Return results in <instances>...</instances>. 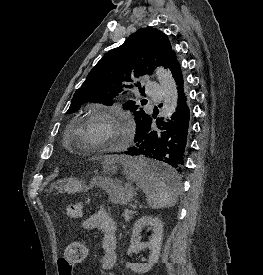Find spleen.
Listing matches in <instances>:
<instances>
[{"instance_id": "3e777b00", "label": "spleen", "mask_w": 263, "mask_h": 275, "mask_svg": "<svg viewBox=\"0 0 263 275\" xmlns=\"http://www.w3.org/2000/svg\"><path fill=\"white\" fill-rule=\"evenodd\" d=\"M122 164L126 176L146 194L150 208L172 207L177 203V184L154 177L150 172L153 166L146 159L124 157Z\"/></svg>"}]
</instances>
